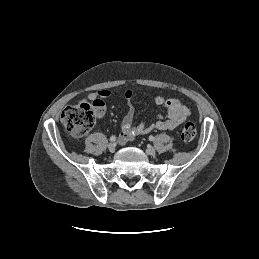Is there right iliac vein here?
Masks as SVG:
<instances>
[{"label": "right iliac vein", "instance_id": "1", "mask_svg": "<svg viewBox=\"0 0 259 259\" xmlns=\"http://www.w3.org/2000/svg\"><path fill=\"white\" fill-rule=\"evenodd\" d=\"M108 150L113 153L115 151V144L113 143H109L108 144Z\"/></svg>", "mask_w": 259, "mask_h": 259}]
</instances>
